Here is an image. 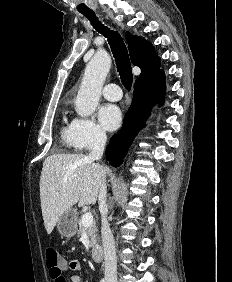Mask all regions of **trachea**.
<instances>
[{"mask_svg":"<svg viewBox=\"0 0 232 282\" xmlns=\"http://www.w3.org/2000/svg\"><path fill=\"white\" fill-rule=\"evenodd\" d=\"M83 15L89 19L91 25L96 29V31L108 39L121 82L127 90H130L133 82V75L128 51L121 35L118 32L105 27L98 20L94 12L83 13Z\"/></svg>","mask_w":232,"mask_h":282,"instance_id":"trachea-1","label":"trachea"}]
</instances>
